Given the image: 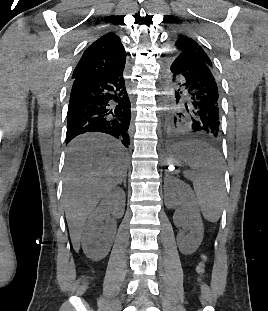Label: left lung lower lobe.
I'll list each match as a JSON object with an SVG mask.
<instances>
[{
	"label": "left lung lower lobe",
	"instance_id": "1",
	"mask_svg": "<svg viewBox=\"0 0 268 311\" xmlns=\"http://www.w3.org/2000/svg\"><path fill=\"white\" fill-rule=\"evenodd\" d=\"M166 73L181 112L169 128V141L206 140L218 144L222 136L219 81L214 67L193 59L165 61Z\"/></svg>",
	"mask_w": 268,
	"mask_h": 311
}]
</instances>
